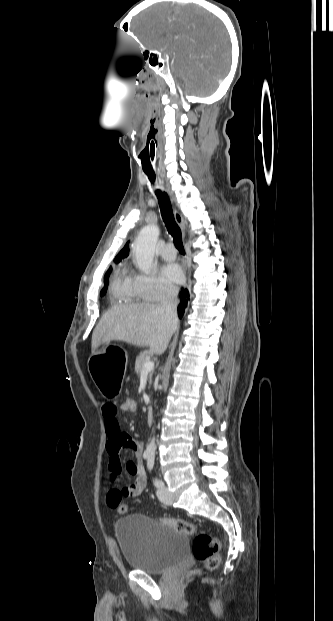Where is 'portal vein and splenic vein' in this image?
Wrapping results in <instances>:
<instances>
[{"mask_svg": "<svg viewBox=\"0 0 333 621\" xmlns=\"http://www.w3.org/2000/svg\"><path fill=\"white\" fill-rule=\"evenodd\" d=\"M153 368H154V363L152 361L148 360L147 362H145L141 373L142 374L143 373H148L151 370H153Z\"/></svg>", "mask_w": 333, "mask_h": 621, "instance_id": "portal-vein-and-splenic-vein-1", "label": "portal vein and splenic vein"}]
</instances>
